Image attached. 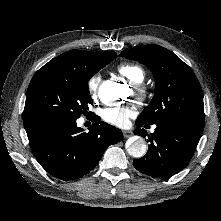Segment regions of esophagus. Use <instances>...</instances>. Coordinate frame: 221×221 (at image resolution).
I'll use <instances>...</instances> for the list:
<instances>
[{"label": "esophagus", "instance_id": "obj_1", "mask_svg": "<svg viewBox=\"0 0 221 221\" xmlns=\"http://www.w3.org/2000/svg\"><path fill=\"white\" fill-rule=\"evenodd\" d=\"M132 134H133V133H132L131 131H129V130L123 131L124 138L130 137V136H132Z\"/></svg>", "mask_w": 221, "mask_h": 221}]
</instances>
